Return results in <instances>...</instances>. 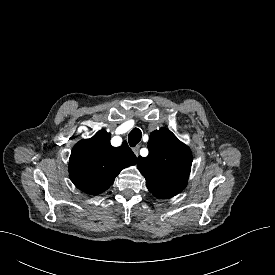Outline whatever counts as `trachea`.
Segmentation results:
<instances>
[{
  "label": "trachea",
  "instance_id": "trachea-1",
  "mask_svg": "<svg viewBox=\"0 0 275 275\" xmlns=\"http://www.w3.org/2000/svg\"><path fill=\"white\" fill-rule=\"evenodd\" d=\"M142 132L138 128H134L128 135L129 145L135 147L141 140Z\"/></svg>",
  "mask_w": 275,
  "mask_h": 275
}]
</instances>
